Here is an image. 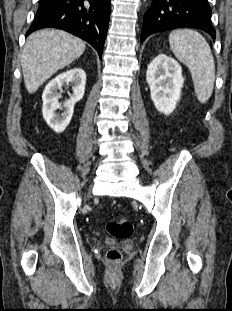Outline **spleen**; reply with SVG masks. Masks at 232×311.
I'll return each instance as SVG.
<instances>
[{
    "mask_svg": "<svg viewBox=\"0 0 232 311\" xmlns=\"http://www.w3.org/2000/svg\"><path fill=\"white\" fill-rule=\"evenodd\" d=\"M169 43L177 59L189 68L198 100L205 103L212 95L215 81V63L209 44L191 29L172 31Z\"/></svg>",
    "mask_w": 232,
    "mask_h": 311,
    "instance_id": "1",
    "label": "spleen"
}]
</instances>
